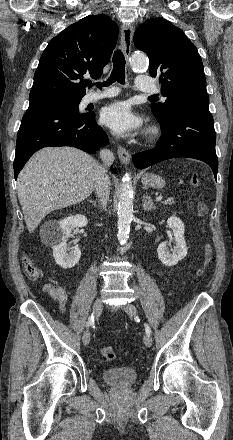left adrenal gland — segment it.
Segmentation results:
<instances>
[{
	"label": "left adrenal gland",
	"instance_id": "a2214340",
	"mask_svg": "<svg viewBox=\"0 0 233 440\" xmlns=\"http://www.w3.org/2000/svg\"><path fill=\"white\" fill-rule=\"evenodd\" d=\"M142 202H143L142 206H143L144 211H150V210L157 208L154 205L152 198L150 196H148L147 193L143 196Z\"/></svg>",
	"mask_w": 233,
	"mask_h": 440
}]
</instances>
